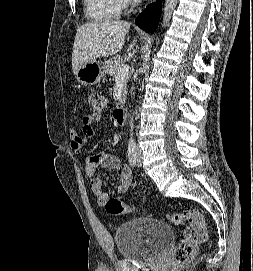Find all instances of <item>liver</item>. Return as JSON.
Masks as SVG:
<instances>
[{
  "instance_id": "liver-1",
  "label": "liver",
  "mask_w": 253,
  "mask_h": 271,
  "mask_svg": "<svg viewBox=\"0 0 253 271\" xmlns=\"http://www.w3.org/2000/svg\"><path fill=\"white\" fill-rule=\"evenodd\" d=\"M130 29V23L120 20H103L86 23L78 28L72 53V70H77L84 64L101 57L118 53ZM136 40L129 45L131 51Z\"/></svg>"
}]
</instances>
